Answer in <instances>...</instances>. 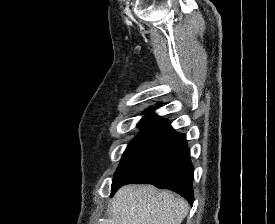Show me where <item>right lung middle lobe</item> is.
I'll list each match as a JSON object with an SVG mask.
<instances>
[{
    "label": "right lung middle lobe",
    "mask_w": 275,
    "mask_h": 224,
    "mask_svg": "<svg viewBox=\"0 0 275 224\" xmlns=\"http://www.w3.org/2000/svg\"><path fill=\"white\" fill-rule=\"evenodd\" d=\"M160 122V117L155 114H150L145 116L138 124L140 125H146L144 129L141 130V132L133 139V141L130 142L127 149L125 150L121 163L119 167L117 168L115 174L120 171L122 166L125 164V162L128 160V158L133 154V152L136 150V148L142 143V141L148 136L150 131Z\"/></svg>",
    "instance_id": "1"
}]
</instances>
